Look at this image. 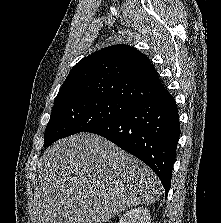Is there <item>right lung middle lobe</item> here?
<instances>
[{"mask_svg": "<svg viewBox=\"0 0 221 223\" xmlns=\"http://www.w3.org/2000/svg\"><path fill=\"white\" fill-rule=\"evenodd\" d=\"M134 104L113 98L84 96L54 103L44 135V147L86 131L129 110Z\"/></svg>", "mask_w": 221, "mask_h": 223, "instance_id": "right-lung-middle-lobe-1", "label": "right lung middle lobe"}]
</instances>
